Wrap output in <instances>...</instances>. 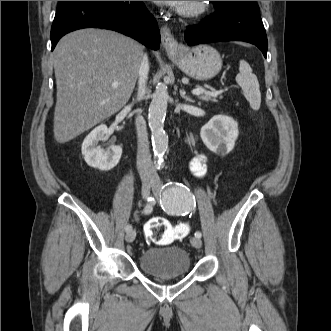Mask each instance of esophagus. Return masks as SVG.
Wrapping results in <instances>:
<instances>
[{
  "mask_svg": "<svg viewBox=\"0 0 331 331\" xmlns=\"http://www.w3.org/2000/svg\"><path fill=\"white\" fill-rule=\"evenodd\" d=\"M161 42L167 54L176 53L180 46L167 26L161 28Z\"/></svg>",
  "mask_w": 331,
  "mask_h": 331,
  "instance_id": "1",
  "label": "esophagus"
}]
</instances>
